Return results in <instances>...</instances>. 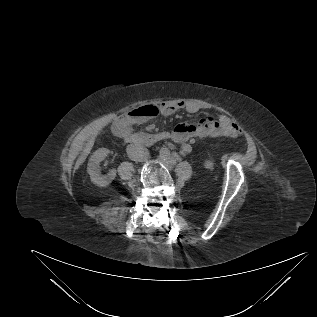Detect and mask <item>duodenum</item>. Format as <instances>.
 Returning a JSON list of instances; mask_svg holds the SVG:
<instances>
[{"instance_id":"obj_1","label":"duodenum","mask_w":317,"mask_h":317,"mask_svg":"<svg viewBox=\"0 0 317 317\" xmlns=\"http://www.w3.org/2000/svg\"><path fill=\"white\" fill-rule=\"evenodd\" d=\"M118 132L122 133L124 138L133 145L153 146L161 141H165L170 138L169 132H156V133H135L130 134L127 132H121L116 125Z\"/></svg>"}]
</instances>
